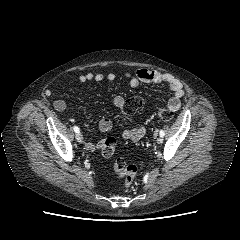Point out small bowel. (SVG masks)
I'll list each match as a JSON object with an SVG mask.
<instances>
[{"label":"small bowel","instance_id":"c3829d8e","mask_svg":"<svg viewBox=\"0 0 240 240\" xmlns=\"http://www.w3.org/2000/svg\"><path fill=\"white\" fill-rule=\"evenodd\" d=\"M116 78L115 73L108 72L106 74L103 73H85L78 76V81L81 83L85 82H101L103 80L114 81ZM125 78L128 80L129 84L132 87H137L142 83H152V84H164L171 92L172 97L168 101V108L172 112H176L181 105V99L184 95V90L182 83L175 78L171 74L162 73L157 70H149V69H139L134 73H125ZM48 95L51 94V91H47ZM125 104V99L118 95L112 99V105L115 108L121 109ZM54 108L58 112H63L67 108V104L63 100H56L54 102ZM112 128V122L108 118H102L98 122V129L107 133ZM146 133V129L143 125H140L136 128L125 129L122 132V138L129 141H139ZM102 143L95 144L91 141L85 143V147L88 150H95L101 146Z\"/></svg>","mask_w":240,"mask_h":240}]
</instances>
